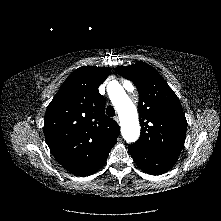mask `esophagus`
I'll return each mask as SVG.
<instances>
[{
    "mask_svg": "<svg viewBox=\"0 0 221 221\" xmlns=\"http://www.w3.org/2000/svg\"><path fill=\"white\" fill-rule=\"evenodd\" d=\"M114 119H115V121H116L117 123H119V117H118V116H115Z\"/></svg>",
    "mask_w": 221,
    "mask_h": 221,
    "instance_id": "1",
    "label": "esophagus"
}]
</instances>
